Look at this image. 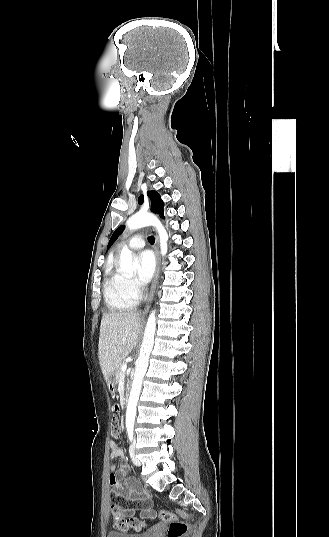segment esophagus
I'll list each match as a JSON object with an SVG mask.
<instances>
[{"label":"esophagus","mask_w":329,"mask_h":537,"mask_svg":"<svg viewBox=\"0 0 329 537\" xmlns=\"http://www.w3.org/2000/svg\"><path fill=\"white\" fill-rule=\"evenodd\" d=\"M152 231L155 233V255H156V270H155V274H154V278H153V281H152V285H151V289H150V294H149V298H148V301H147V305L144 309V313H146L149 309V304L150 302L152 301L153 299V296H154V292H155V286H156V282H157V278H158V273H159V238H158V235L155 231V229L153 228Z\"/></svg>","instance_id":"obj_1"}]
</instances>
